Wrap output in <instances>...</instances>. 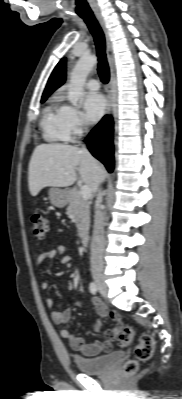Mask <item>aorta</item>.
Listing matches in <instances>:
<instances>
[{"label":"aorta","mask_w":182,"mask_h":399,"mask_svg":"<svg viewBox=\"0 0 182 399\" xmlns=\"http://www.w3.org/2000/svg\"><path fill=\"white\" fill-rule=\"evenodd\" d=\"M96 63L97 57L95 55H84L73 68L68 84V100L73 106L77 107L82 103L86 78Z\"/></svg>","instance_id":"762f6f07"}]
</instances>
